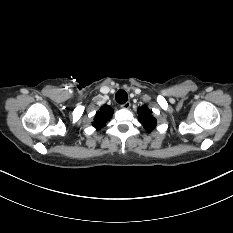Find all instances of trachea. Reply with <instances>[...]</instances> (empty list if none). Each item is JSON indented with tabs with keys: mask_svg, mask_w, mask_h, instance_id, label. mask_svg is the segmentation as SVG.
Masks as SVG:
<instances>
[{
	"mask_svg": "<svg viewBox=\"0 0 233 233\" xmlns=\"http://www.w3.org/2000/svg\"><path fill=\"white\" fill-rule=\"evenodd\" d=\"M115 100L119 103V104H124L125 102H127L128 100V95L126 93V91L124 90H119L117 91L116 95H115Z\"/></svg>",
	"mask_w": 233,
	"mask_h": 233,
	"instance_id": "3493384b",
	"label": "trachea"
}]
</instances>
